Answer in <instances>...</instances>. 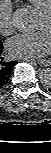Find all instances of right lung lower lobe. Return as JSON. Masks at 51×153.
Segmentation results:
<instances>
[{"instance_id": "right-lung-lower-lobe-1", "label": "right lung lower lobe", "mask_w": 51, "mask_h": 153, "mask_svg": "<svg viewBox=\"0 0 51 153\" xmlns=\"http://www.w3.org/2000/svg\"><path fill=\"white\" fill-rule=\"evenodd\" d=\"M3 46L0 47V88L3 87L11 77L13 67L16 65V61L5 62L1 53L3 52Z\"/></svg>"}]
</instances>
